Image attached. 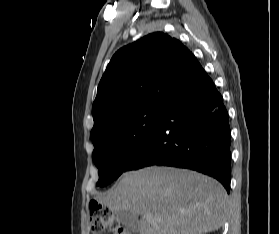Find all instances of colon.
I'll use <instances>...</instances> for the list:
<instances>
[{
	"mask_svg": "<svg viewBox=\"0 0 279 234\" xmlns=\"http://www.w3.org/2000/svg\"><path fill=\"white\" fill-rule=\"evenodd\" d=\"M89 225L91 234H103L111 232L113 234H131L108 209L100 206L97 202L90 204Z\"/></svg>",
	"mask_w": 279,
	"mask_h": 234,
	"instance_id": "colon-1",
	"label": "colon"
}]
</instances>
